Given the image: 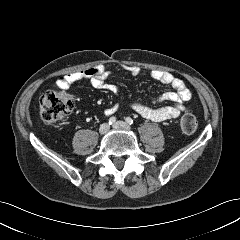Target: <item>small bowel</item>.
Here are the masks:
<instances>
[{
    "instance_id": "small-bowel-1",
    "label": "small bowel",
    "mask_w": 240,
    "mask_h": 240,
    "mask_svg": "<svg viewBox=\"0 0 240 240\" xmlns=\"http://www.w3.org/2000/svg\"><path fill=\"white\" fill-rule=\"evenodd\" d=\"M123 67L133 75H137L140 72L139 68L136 66ZM109 77L110 73L104 65H96L66 74L58 79L57 84L59 87L66 89L75 82L88 81L94 88L103 89L116 94L119 92V87L109 83L107 81ZM151 77L154 81L173 88V91L164 93L158 99V102L167 101L172 102L173 105L153 107L139 101H134L131 104L132 108L142 117L155 122L177 118L186 110L185 103L191 97L190 90L181 79L176 78L169 72L153 70L151 72ZM117 108V104L109 107L105 110V114L109 116L113 114Z\"/></svg>"
}]
</instances>
